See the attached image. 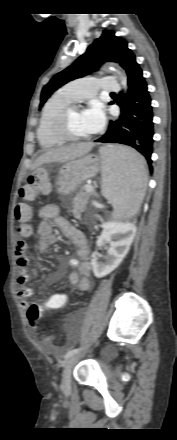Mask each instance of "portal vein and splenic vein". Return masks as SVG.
<instances>
[{
	"label": "portal vein and splenic vein",
	"instance_id": "obj_1",
	"mask_svg": "<svg viewBox=\"0 0 177 440\" xmlns=\"http://www.w3.org/2000/svg\"><path fill=\"white\" fill-rule=\"evenodd\" d=\"M86 190H87V191H93V187H92V185H87Z\"/></svg>",
	"mask_w": 177,
	"mask_h": 440
}]
</instances>
